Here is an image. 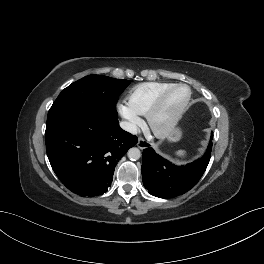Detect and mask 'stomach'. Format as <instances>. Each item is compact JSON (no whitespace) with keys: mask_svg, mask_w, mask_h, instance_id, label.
Wrapping results in <instances>:
<instances>
[{"mask_svg":"<svg viewBox=\"0 0 264 264\" xmlns=\"http://www.w3.org/2000/svg\"><path fill=\"white\" fill-rule=\"evenodd\" d=\"M182 136V132L180 129H175L168 137V139L172 142H177L180 140Z\"/></svg>","mask_w":264,"mask_h":264,"instance_id":"0dacf381","label":"stomach"}]
</instances>
